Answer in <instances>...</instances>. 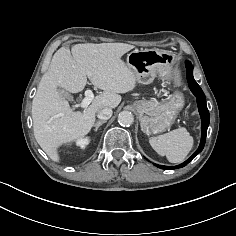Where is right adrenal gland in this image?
I'll return each instance as SVG.
<instances>
[{
    "instance_id": "2a0ac1e0",
    "label": "right adrenal gland",
    "mask_w": 236,
    "mask_h": 236,
    "mask_svg": "<svg viewBox=\"0 0 236 236\" xmlns=\"http://www.w3.org/2000/svg\"><path fill=\"white\" fill-rule=\"evenodd\" d=\"M106 122H107V120L98 121V122L94 125V126H95L94 131L97 132L98 128H99L102 124H104V123H106Z\"/></svg>"
}]
</instances>
